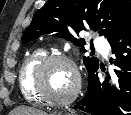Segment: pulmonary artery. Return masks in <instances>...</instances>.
<instances>
[{"mask_svg": "<svg viewBox=\"0 0 131 115\" xmlns=\"http://www.w3.org/2000/svg\"><path fill=\"white\" fill-rule=\"evenodd\" d=\"M94 44L102 52L104 57L108 55V46L104 38L96 36Z\"/></svg>", "mask_w": 131, "mask_h": 115, "instance_id": "1", "label": "pulmonary artery"}]
</instances>
